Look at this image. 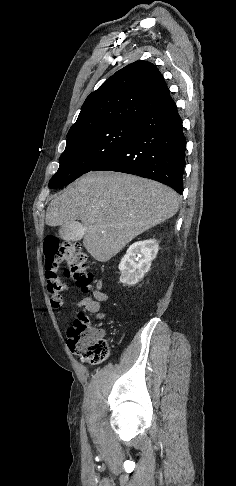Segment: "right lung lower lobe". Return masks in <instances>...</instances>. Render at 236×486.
<instances>
[{
	"mask_svg": "<svg viewBox=\"0 0 236 486\" xmlns=\"http://www.w3.org/2000/svg\"><path fill=\"white\" fill-rule=\"evenodd\" d=\"M136 134L91 171H117L149 178L182 194L186 139L176 104L137 122Z\"/></svg>",
	"mask_w": 236,
	"mask_h": 486,
	"instance_id": "obj_1",
	"label": "right lung lower lobe"
}]
</instances>
